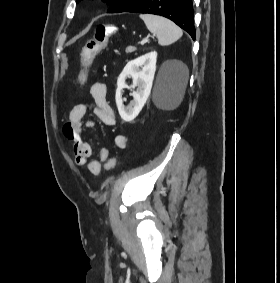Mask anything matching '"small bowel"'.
Instances as JSON below:
<instances>
[{
    "label": "small bowel",
    "mask_w": 280,
    "mask_h": 283,
    "mask_svg": "<svg viewBox=\"0 0 280 283\" xmlns=\"http://www.w3.org/2000/svg\"><path fill=\"white\" fill-rule=\"evenodd\" d=\"M90 94L94 101V114L105 126H113L116 122L113 110L107 102L106 86L101 82H95L90 87ZM88 111L86 104L75 105L69 113L67 121L63 125L64 137L73 143L74 162L79 167L87 166L92 175H99L102 171V162L107 163L111 153L107 148L100 149L99 160H89L92 155V148L84 140V126L94 127L93 121H85L84 116ZM115 145L124 149L127 145V138L124 135L115 137Z\"/></svg>",
    "instance_id": "small-bowel-1"
}]
</instances>
